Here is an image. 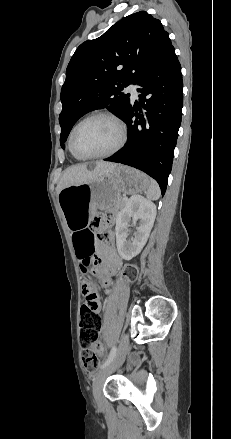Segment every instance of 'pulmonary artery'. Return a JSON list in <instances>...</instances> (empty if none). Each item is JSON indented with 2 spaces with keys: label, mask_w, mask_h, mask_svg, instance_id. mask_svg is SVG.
Instances as JSON below:
<instances>
[{
  "label": "pulmonary artery",
  "mask_w": 231,
  "mask_h": 439,
  "mask_svg": "<svg viewBox=\"0 0 231 439\" xmlns=\"http://www.w3.org/2000/svg\"><path fill=\"white\" fill-rule=\"evenodd\" d=\"M137 85L136 84H130L127 87V91L131 94L132 99H137L138 98V91H137Z\"/></svg>",
  "instance_id": "1"
}]
</instances>
